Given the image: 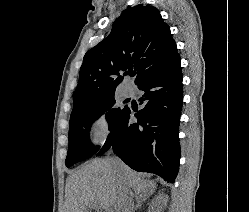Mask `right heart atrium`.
Segmentation results:
<instances>
[{
    "mask_svg": "<svg viewBox=\"0 0 249 212\" xmlns=\"http://www.w3.org/2000/svg\"><path fill=\"white\" fill-rule=\"evenodd\" d=\"M89 137L96 147L103 146L112 133V122L106 112L95 114L88 124Z\"/></svg>",
    "mask_w": 249,
    "mask_h": 212,
    "instance_id": "right-heart-atrium-1",
    "label": "right heart atrium"
}]
</instances>
